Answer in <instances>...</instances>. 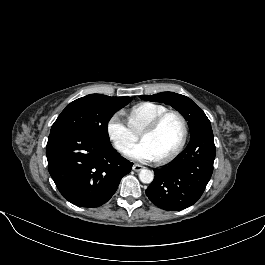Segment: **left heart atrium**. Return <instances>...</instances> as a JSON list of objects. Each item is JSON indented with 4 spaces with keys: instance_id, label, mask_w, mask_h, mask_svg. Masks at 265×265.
<instances>
[{
    "instance_id": "left-heart-atrium-1",
    "label": "left heart atrium",
    "mask_w": 265,
    "mask_h": 265,
    "mask_svg": "<svg viewBox=\"0 0 265 265\" xmlns=\"http://www.w3.org/2000/svg\"><path fill=\"white\" fill-rule=\"evenodd\" d=\"M126 154L137 161H152L156 158L148 144L143 141L134 145Z\"/></svg>"
}]
</instances>
